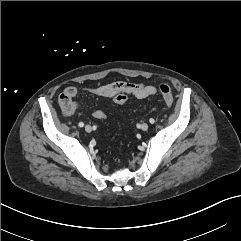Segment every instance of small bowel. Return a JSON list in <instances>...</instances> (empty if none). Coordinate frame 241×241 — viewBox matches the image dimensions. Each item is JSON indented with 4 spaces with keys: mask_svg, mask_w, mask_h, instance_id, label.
I'll return each instance as SVG.
<instances>
[{
    "mask_svg": "<svg viewBox=\"0 0 241 241\" xmlns=\"http://www.w3.org/2000/svg\"><path fill=\"white\" fill-rule=\"evenodd\" d=\"M88 91L92 94L104 97L114 98L117 93H126L137 99H144L156 93V88L153 85H146L143 83L118 81L108 83L100 86L89 87ZM78 90L75 86L66 87L58 97V104L62 109V113L65 117H70L78 108V103L75 101V97ZM93 117L96 119H103L105 113L102 110H95Z\"/></svg>",
    "mask_w": 241,
    "mask_h": 241,
    "instance_id": "1",
    "label": "small bowel"
}]
</instances>
